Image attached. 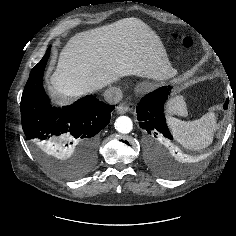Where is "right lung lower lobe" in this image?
<instances>
[{
	"label": "right lung lower lobe",
	"instance_id": "98d812e1",
	"mask_svg": "<svg viewBox=\"0 0 236 236\" xmlns=\"http://www.w3.org/2000/svg\"><path fill=\"white\" fill-rule=\"evenodd\" d=\"M50 47L31 70L21 98L22 128L27 139L47 152L95 158L97 136L110 121L113 105L88 95L74 104L54 108L43 88V73Z\"/></svg>",
	"mask_w": 236,
	"mask_h": 236
}]
</instances>
